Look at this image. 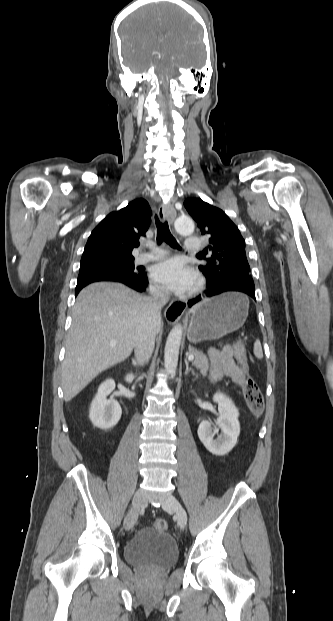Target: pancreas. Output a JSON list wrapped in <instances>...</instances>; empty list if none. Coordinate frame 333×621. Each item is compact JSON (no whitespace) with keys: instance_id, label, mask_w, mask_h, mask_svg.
Instances as JSON below:
<instances>
[{"instance_id":"cf45deb5","label":"pancreas","mask_w":333,"mask_h":621,"mask_svg":"<svg viewBox=\"0 0 333 621\" xmlns=\"http://www.w3.org/2000/svg\"><path fill=\"white\" fill-rule=\"evenodd\" d=\"M188 354L194 355L195 358L192 362L193 366L196 367V369H198L202 375L206 376L209 368V361L207 356L201 351L192 347H189Z\"/></svg>"}]
</instances>
